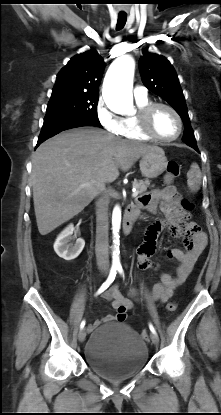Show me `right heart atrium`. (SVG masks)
<instances>
[{
  "label": "right heart atrium",
  "instance_id": "obj_1",
  "mask_svg": "<svg viewBox=\"0 0 221 415\" xmlns=\"http://www.w3.org/2000/svg\"><path fill=\"white\" fill-rule=\"evenodd\" d=\"M96 116L98 122L106 131L114 135L121 134L123 118L111 111L102 99L97 103Z\"/></svg>",
  "mask_w": 221,
  "mask_h": 415
}]
</instances>
